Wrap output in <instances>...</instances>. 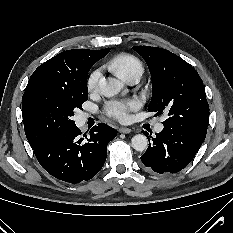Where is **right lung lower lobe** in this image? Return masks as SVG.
<instances>
[{"label": "right lung lower lobe", "mask_w": 233, "mask_h": 233, "mask_svg": "<svg viewBox=\"0 0 233 233\" xmlns=\"http://www.w3.org/2000/svg\"><path fill=\"white\" fill-rule=\"evenodd\" d=\"M116 137L110 126L99 123L89 136L75 125L55 133L33 149L40 165L55 178L79 183L94 177L107 157V145Z\"/></svg>", "instance_id": "1"}]
</instances>
